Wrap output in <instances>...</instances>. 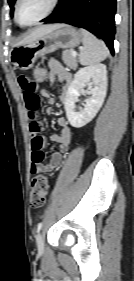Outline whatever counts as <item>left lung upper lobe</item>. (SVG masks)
Segmentation results:
<instances>
[{"label":"left lung upper lobe","instance_id":"1","mask_svg":"<svg viewBox=\"0 0 134 281\" xmlns=\"http://www.w3.org/2000/svg\"><path fill=\"white\" fill-rule=\"evenodd\" d=\"M16 0H8V3L11 7V15L13 14V11H14V3H15Z\"/></svg>","mask_w":134,"mask_h":281}]
</instances>
